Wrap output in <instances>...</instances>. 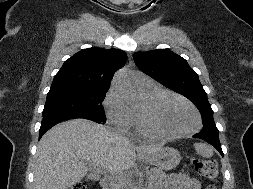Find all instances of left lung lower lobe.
I'll use <instances>...</instances> for the list:
<instances>
[{
	"mask_svg": "<svg viewBox=\"0 0 253 189\" xmlns=\"http://www.w3.org/2000/svg\"><path fill=\"white\" fill-rule=\"evenodd\" d=\"M193 137L203 139L207 141L208 143L212 144L218 150V152L223 156V152H222L221 145L219 142V133L200 132L193 135Z\"/></svg>",
	"mask_w": 253,
	"mask_h": 189,
	"instance_id": "1",
	"label": "left lung lower lobe"
}]
</instances>
